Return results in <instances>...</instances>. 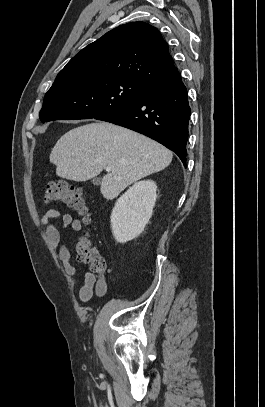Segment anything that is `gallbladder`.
Segmentation results:
<instances>
[{
	"instance_id": "obj_1",
	"label": "gallbladder",
	"mask_w": 265,
	"mask_h": 407,
	"mask_svg": "<svg viewBox=\"0 0 265 407\" xmlns=\"http://www.w3.org/2000/svg\"><path fill=\"white\" fill-rule=\"evenodd\" d=\"M92 183H93L94 185H100V184H101V180H100V178H94V179L92 180Z\"/></svg>"
}]
</instances>
